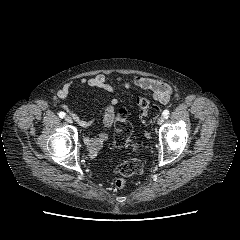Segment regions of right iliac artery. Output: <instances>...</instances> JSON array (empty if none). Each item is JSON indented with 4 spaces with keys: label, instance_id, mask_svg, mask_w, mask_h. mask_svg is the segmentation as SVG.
I'll list each match as a JSON object with an SVG mask.
<instances>
[{
    "label": "right iliac artery",
    "instance_id": "obj_1",
    "mask_svg": "<svg viewBox=\"0 0 240 240\" xmlns=\"http://www.w3.org/2000/svg\"><path fill=\"white\" fill-rule=\"evenodd\" d=\"M58 115L60 118H64L66 114L64 112H60Z\"/></svg>",
    "mask_w": 240,
    "mask_h": 240
}]
</instances>
